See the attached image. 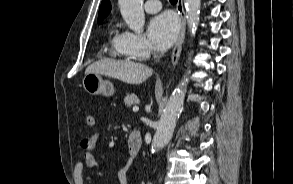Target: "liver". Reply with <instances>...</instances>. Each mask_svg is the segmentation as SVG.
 <instances>
[{"label":"liver","instance_id":"1","mask_svg":"<svg viewBox=\"0 0 293 184\" xmlns=\"http://www.w3.org/2000/svg\"><path fill=\"white\" fill-rule=\"evenodd\" d=\"M88 73L106 75L129 84H141L152 75V69L130 60L101 59L86 68L85 74Z\"/></svg>","mask_w":293,"mask_h":184}]
</instances>
